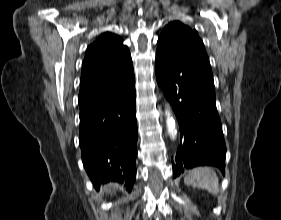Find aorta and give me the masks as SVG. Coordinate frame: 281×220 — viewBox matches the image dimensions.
<instances>
[{"instance_id": "762f6f07", "label": "aorta", "mask_w": 281, "mask_h": 220, "mask_svg": "<svg viewBox=\"0 0 281 220\" xmlns=\"http://www.w3.org/2000/svg\"><path fill=\"white\" fill-rule=\"evenodd\" d=\"M166 116H167V118H166L167 130H168V133H169L171 139L174 140L177 135V129H176L175 120L172 117L171 112L168 109H166Z\"/></svg>"}]
</instances>
